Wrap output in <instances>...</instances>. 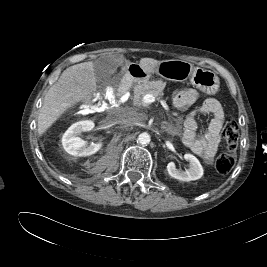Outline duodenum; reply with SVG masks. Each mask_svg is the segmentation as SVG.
Listing matches in <instances>:
<instances>
[{"label": "duodenum", "mask_w": 267, "mask_h": 267, "mask_svg": "<svg viewBox=\"0 0 267 267\" xmlns=\"http://www.w3.org/2000/svg\"><path fill=\"white\" fill-rule=\"evenodd\" d=\"M135 77L134 76H126L120 84L119 87V96L121 99L126 98V94L129 92L130 88L134 83Z\"/></svg>", "instance_id": "duodenum-1"}]
</instances>
